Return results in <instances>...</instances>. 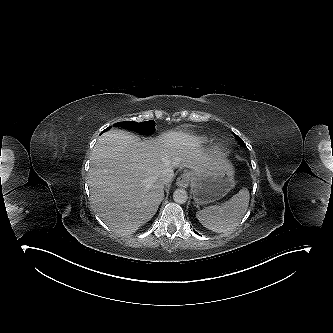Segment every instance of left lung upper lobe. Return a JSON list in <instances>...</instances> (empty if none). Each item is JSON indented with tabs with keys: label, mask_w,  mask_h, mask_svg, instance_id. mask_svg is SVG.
I'll return each mask as SVG.
<instances>
[{
	"label": "left lung upper lobe",
	"mask_w": 333,
	"mask_h": 333,
	"mask_svg": "<svg viewBox=\"0 0 333 333\" xmlns=\"http://www.w3.org/2000/svg\"><path fill=\"white\" fill-rule=\"evenodd\" d=\"M236 137H237L239 144L243 145V140L241 138H239L238 136H236Z\"/></svg>",
	"instance_id": "1"
}]
</instances>
